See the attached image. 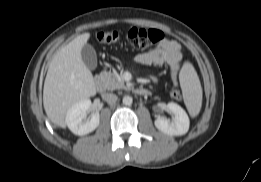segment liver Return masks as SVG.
Wrapping results in <instances>:
<instances>
[{
	"mask_svg": "<svg viewBox=\"0 0 261 182\" xmlns=\"http://www.w3.org/2000/svg\"><path fill=\"white\" fill-rule=\"evenodd\" d=\"M89 38L90 33L77 36L57 52L49 65L43 105L48 118L58 127H66L65 115L72 105L96 94L93 75L81 57Z\"/></svg>",
	"mask_w": 261,
	"mask_h": 182,
	"instance_id": "1",
	"label": "liver"
}]
</instances>
